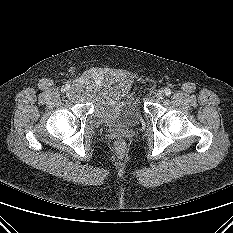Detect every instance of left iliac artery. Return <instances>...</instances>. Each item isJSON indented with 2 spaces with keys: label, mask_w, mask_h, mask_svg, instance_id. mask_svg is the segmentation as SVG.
I'll list each match as a JSON object with an SVG mask.
<instances>
[{
  "label": "left iliac artery",
  "mask_w": 233,
  "mask_h": 233,
  "mask_svg": "<svg viewBox=\"0 0 233 233\" xmlns=\"http://www.w3.org/2000/svg\"><path fill=\"white\" fill-rule=\"evenodd\" d=\"M165 94H166L167 96H169V95L171 94V90H170L169 88H166V89H165Z\"/></svg>",
  "instance_id": "44dca946"
}]
</instances>
